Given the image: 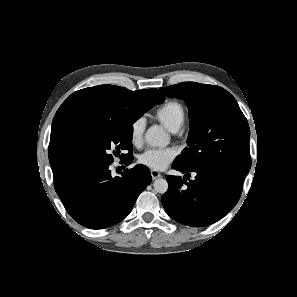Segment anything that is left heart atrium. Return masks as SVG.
<instances>
[{
	"label": "left heart atrium",
	"instance_id": "obj_1",
	"mask_svg": "<svg viewBox=\"0 0 297 297\" xmlns=\"http://www.w3.org/2000/svg\"><path fill=\"white\" fill-rule=\"evenodd\" d=\"M176 155L177 151L173 147L147 149L139 156V162L150 169L160 171L165 169Z\"/></svg>",
	"mask_w": 297,
	"mask_h": 297
}]
</instances>
